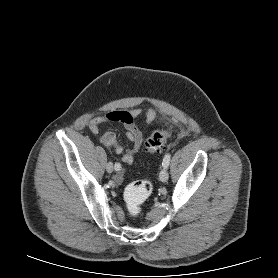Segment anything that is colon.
<instances>
[{
    "label": "colon",
    "instance_id": "colon-1",
    "mask_svg": "<svg viewBox=\"0 0 278 278\" xmlns=\"http://www.w3.org/2000/svg\"><path fill=\"white\" fill-rule=\"evenodd\" d=\"M171 133L169 130H156L145 140V148L153 153L160 150ZM153 186L149 180H139L129 184L124 192V199L128 213L131 217H138L142 213L143 203L147 200L152 192Z\"/></svg>",
    "mask_w": 278,
    "mask_h": 278
}]
</instances>
